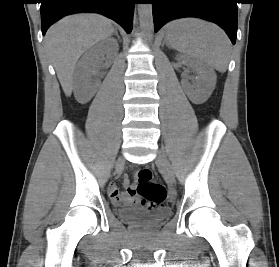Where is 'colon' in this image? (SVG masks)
I'll return each instance as SVG.
<instances>
[{"mask_svg":"<svg viewBox=\"0 0 279 267\" xmlns=\"http://www.w3.org/2000/svg\"><path fill=\"white\" fill-rule=\"evenodd\" d=\"M137 191L141 195L142 205L152 210L160 207L166 198L165 187L153 180L152 172L149 168H143L137 173Z\"/></svg>","mask_w":279,"mask_h":267,"instance_id":"colon-1","label":"colon"}]
</instances>
